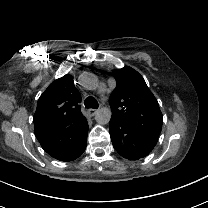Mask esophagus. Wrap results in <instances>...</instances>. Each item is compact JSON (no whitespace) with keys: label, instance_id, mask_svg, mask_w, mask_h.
Instances as JSON below:
<instances>
[{"label":"esophagus","instance_id":"34e87169","mask_svg":"<svg viewBox=\"0 0 208 208\" xmlns=\"http://www.w3.org/2000/svg\"><path fill=\"white\" fill-rule=\"evenodd\" d=\"M99 111V109H88L87 112H88V115L90 117H93L94 115H96V113Z\"/></svg>","mask_w":208,"mask_h":208}]
</instances>
